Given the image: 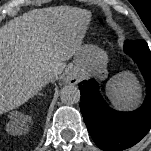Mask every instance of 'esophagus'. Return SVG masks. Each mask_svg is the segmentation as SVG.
Listing matches in <instances>:
<instances>
[{
    "label": "esophagus",
    "mask_w": 151,
    "mask_h": 151,
    "mask_svg": "<svg viewBox=\"0 0 151 151\" xmlns=\"http://www.w3.org/2000/svg\"><path fill=\"white\" fill-rule=\"evenodd\" d=\"M65 82L67 84H72V85H75V84H78L79 83V78L77 75L75 74H68L65 78Z\"/></svg>",
    "instance_id": "obj_1"
}]
</instances>
